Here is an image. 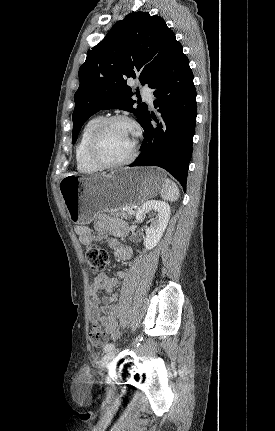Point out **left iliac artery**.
Segmentation results:
<instances>
[{
	"instance_id": "obj_1",
	"label": "left iliac artery",
	"mask_w": 275,
	"mask_h": 431,
	"mask_svg": "<svg viewBox=\"0 0 275 431\" xmlns=\"http://www.w3.org/2000/svg\"><path fill=\"white\" fill-rule=\"evenodd\" d=\"M115 350V345L113 343H109L104 347V352L110 353Z\"/></svg>"
}]
</instances>
